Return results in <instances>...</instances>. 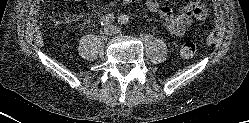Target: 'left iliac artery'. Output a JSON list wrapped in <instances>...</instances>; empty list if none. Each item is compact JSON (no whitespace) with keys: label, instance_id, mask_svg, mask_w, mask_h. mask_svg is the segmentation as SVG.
<instances>
[{"label":"left iliac artery","instance_id":"obj_1","mask_svg":"<svg viewBox=\"0 0 249 123\" xmlns=\"http://www.w3.org/2000/svg\"><path fill=\"white\" fill-rule=\"evenodd\" d=\"M129 21V17L127 15H121L119 18H118V22L119 24L121 25H125L127 22Z\"/></svg>","mask_w":249,"mask_h":123}]
</instances>
